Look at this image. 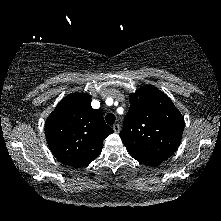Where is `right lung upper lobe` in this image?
I'll list each match as a JSON object with an SVG mask.
<instances>
[{
  "label": "right lung upper lobe",
  "mask_w": 221,
  "mask_h": 221,
  "mask_svg": "<svg viewBox=\"0 0 221 221\" xmlns=\"http://www.w3.org/2000/svg\"><path fill=\"white\" fill-rule=\"evenodd\" d=\"M111 133L113 129L102 113L91 107V96L86 93L64 97L45 124L46 140L54 156L75 168L93 161Z\"/></svg>",
  "instance_id": "cb5924a9"
}]
</instances>
